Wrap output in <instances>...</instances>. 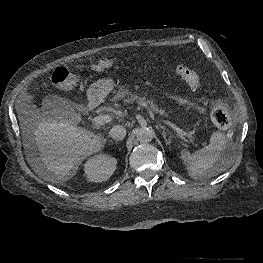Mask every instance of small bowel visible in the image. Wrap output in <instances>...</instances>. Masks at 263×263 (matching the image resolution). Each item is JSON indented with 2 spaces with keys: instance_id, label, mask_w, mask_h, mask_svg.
I'll list each match as a JSON object with an SVG mask.
<instances>
[{
  "instance_id": "small-bowel-1",
  "label": "small bowel",
  "mask_w": 263,
  "mask_h": 263,
  "mask_svg": "<svg viewBox=\"0 0 263 263\" xmlns=\"http://www.w3.org/2000/svg\"><path fill=\"white\" fill-rule=\"evenodd\" d=\"M174 99H175L176 101H178L179 103H184V102H185V100L182 99V98H180V97H174ZM198 110L202 111L203 108H202L201 106H198Z\"/></svg>"
}]
</instances>
